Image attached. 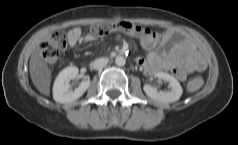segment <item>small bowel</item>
Segmentation results:
<instances>
[{
  "instance_id": "obj_1",
  "label": "small bowel",
  "mask_w": 238,
  "mask_h": 145,
  "mask_svg": "<svg viewBox=\"0 0 238 145\" xmlns=\"http://www.w3.org/2000/svg\"><path fill=\"white\" fill-rule=\"evenodd\" d=\"M79 35V29L71 30L68 34L70 43L75 44L79 39ZM138 38L140 44L147 52L144 57L137 59V63L144 68L146 74L172 70L181 80H184L187 74L202 72L206 68V62L199 53L190 48L170 44L161 34L140 35ZM158 43L161 52L179 51L181 55L177 58H162L157 51L153 50Z\"/></svg>"
}]
</instances>
